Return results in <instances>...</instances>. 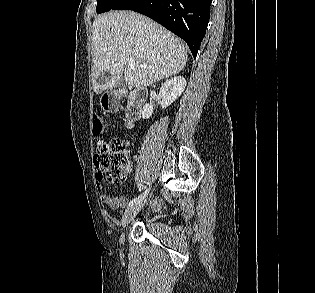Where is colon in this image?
<instances>
[{"mask_svg":"<svg viewBox=\"0 0 315 293\" xmlns=\"http://www.w3.org/2000/svg\"><path fill=\"white\" fill-rule=\"evenodd\" d=\"M105 128L103 117L94 113L92 116V133L95 137L102 134ZM97 178L107 183L122 184L129 171V156L125 143L120 138H113L98 145L94 157Z\"/></svg>","mask_w":315,"mask_h":293,"instance_id":"colon-1","label":"colon"}]
</instances>
